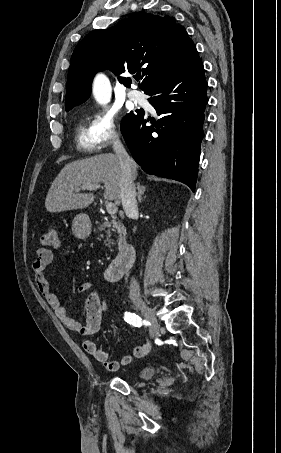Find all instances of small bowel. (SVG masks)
<instances>
[{"instance_id":"1","label":"small bowel","mask_w":281,"mask_h":453,"mask_svg":"<svg viewBox=\"0 0 281 453\" xmlns=\"http://www.w3.org/2000/svg\"><path fill=\"white\" fill-rule=\"evenodd\" d=\"M52 260L53 254L50 250L44 247H37L34 250L32 269L38 290L56 313L58 319L68 329L80 336H89L97 332L101 328L102 316L107 309V302L99 296L92 283L80 284L75 292L85 295L84 303L81 306V311L85 315L83 318L85 322L76 320L67 308L60 304L57 295L52 291L50 280L46 275L47 268ZM82 345L91 357L103 364L109 371L118 370L121 366L129 364L134 356H142L150 348V344L147 342L142 346L133 347L119 359H110L107 351L97 346L93 341L85 340Z\"/></svg>"}]
</instances>
